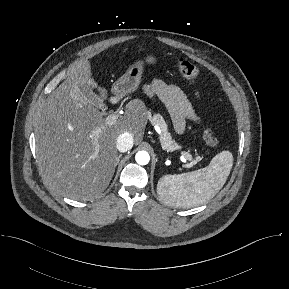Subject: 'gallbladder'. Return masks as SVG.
I'll use <instances>...</instances> for the list:
<instances>
[{
  "label": "gallbladder",
  "mask_w": 289,
  "mask_h": 289,
  "mask_svg": "<svg viewBox=\"0 0 289 289\" xmlns=\"http://www.w3.org/2000/svg\"><path fill=\"white\" fill-rule=\"evenodd\" d=\"M93 102H94V104H95L97 107H99V108H101V109L104 108V103H103L102 101H100L97 97H95V98L93 99Z\"/></svg>",
  "instance_id": "gallbladder-1"
}]
</instances>
